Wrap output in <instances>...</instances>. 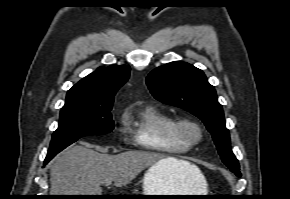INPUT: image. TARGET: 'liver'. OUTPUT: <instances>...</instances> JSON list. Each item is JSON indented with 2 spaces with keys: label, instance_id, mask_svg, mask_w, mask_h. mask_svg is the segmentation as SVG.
I'll return each mask as SVG.
<instances>
[{
  "label": "liver",
  "instance_id": "obj_1",
  "mask_svg": "<svg viewBox=\"0 0 290 199\" xmlns=\"http://www.w3.org/2000/svg\"><path fill=\"white\" fill-rule=\"evenodd\" d=\"M160 163L185 184L200 173L196 165L185 160L147 151L132 150L118 155L101 154L86 145H75L58 154L51 163V195H101V184L110 181L116 187L129 184L142 170Z\"/></svg>",
  "mask_w": 290,
  "mask_h": 199
}]
</instances>
